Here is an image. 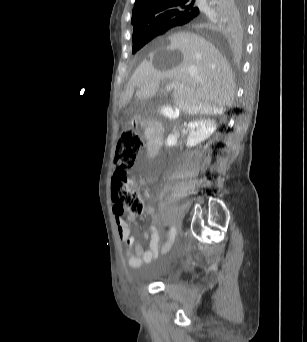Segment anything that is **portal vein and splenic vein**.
<instances>
[{
  "label": "portal vein and splenic vein",
  "mask_w": 307,
  "mask_h": 342,
  "mask_svg": "<svg viewBox=\"0 0 307 342\" xmlns=\"http://www.w3.org/2000/svg\"><path fill=\"white\" fill-rule=\"evenodd\" d=\"M163 84H166V81H163ZM170 86V87H169ZM169 86H166L164 88V91L166 93H169L171 91V88H176V84H174V82H171V84H169ZM159 88H163V85H159Z\"/></svg>",
  "instance_id": "18ae733b"
}]
</instances>
